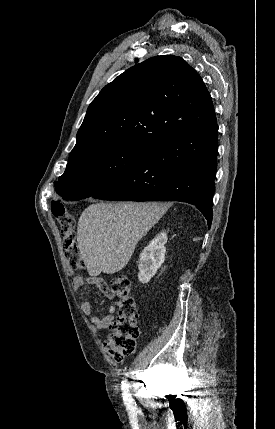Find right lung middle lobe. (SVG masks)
Listing matches in <instances>:
<instances>
[{
	"label": "right lung middle lobe",
	"instance_id": "obj_1",
	"mask_svg": "<svg viewBox=\"0 0 275 429\" xmlns=\"http://www.w3.org/2000/svg\"><path fill=\"white\" fill-rule=\"evenodd\" d=\"M149 150L116 144L68 162L64 174L55 182L56 191L65 200L91 197L138 167Z\"/></svg>",
	"mask_w": 275,
	"mask_h": 429
}]
</instances>
